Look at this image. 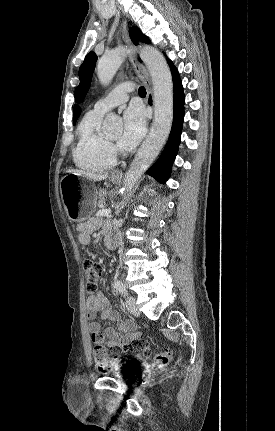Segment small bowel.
<instances>
[{"instance_id": "1", "label": "small bowel", "mask_w": 275, "mask_h": 431, "mask_svg": "<svg viewBox=\"0 0 275 431\" xmlns=\"http://www.w3.org/2000/svg\"><path fill=\"white\" fill-rule=\"evenodd\" d=\"M97 220H90L77 226L79 233L78 240L81 244L87 245L91 241V233L98 227ZM108 231V229H106ZM87 318L91 320L88 325L90 333L98 332L101 324L95 321L96 316L100 313L101 319L113 322L115 327H107L104 330L107 338V345L110 348L124 347L128 343L137 340L139 333L131 321H123L120 314L110 307L109 302L102 293L91 295L87 299Z\"/></svg>"}]
</instances>
